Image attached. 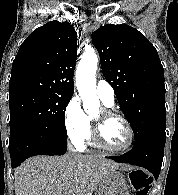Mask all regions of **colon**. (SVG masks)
Masks as SVG:
<instances>
[{
	"label": "colon",
	"instance_id": "obj_1",
	"mask_svg": "<svg viewBox=\"0 0 178 195\" xmlns=\"http://www.w3.org/2000/svg\"><path fill=\"white\" fill-rule=\"evenodd\" d=\"M131 180L136 190V195H148L151 180L146 173L142 171H135L132 173Z\"/></svg>",
	"mask_w": 178,
	"mask_h": 195
}]
</instances>
